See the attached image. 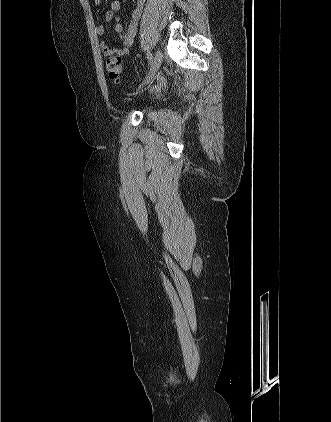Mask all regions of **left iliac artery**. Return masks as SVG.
I'll list each match as a JSON object with an SVG mask.
<instances>
[{
	"label": "left iliac artery",
	"mask_w": 331,
	"mask_h": 422,
	"mask_svg": "<svg viewBox=\"0 0 331 422\" xmlns=\"http://www.w3.org/2000/svg\"><path fill=\"white\" fill-rule=\"evenodd\" d=\"M147 57H148L149 64L151 65L153 57H152V54L150 53V51H147Z\"/></svg>",
	"instance_id": "44dca946"
}]
</instances>
